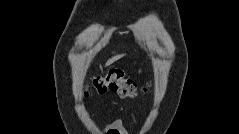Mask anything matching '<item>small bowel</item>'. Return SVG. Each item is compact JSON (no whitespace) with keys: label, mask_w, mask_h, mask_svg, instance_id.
<instances>
[{"label":"small bowel","mask_w":239,"mask_h":134,"mask_svg":"<svg viewBox=\"0 0 239 134\" xmlns=\"http://www.w3.org/2000/svg\"><path fill=\"white\" fill-rule=\"evenodd\" d=\"M109 134H126L122 120L118 119L110 124Z\"/></svg>","instance_id":"obj_1"}]
</instances>
